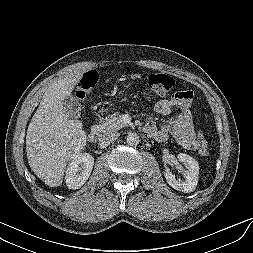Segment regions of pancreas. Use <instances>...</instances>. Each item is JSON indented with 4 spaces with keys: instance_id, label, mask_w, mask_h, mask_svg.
Wrapping results in <instances>:
<instances>
[{
    "instance_id": "obj_1",
    "label": "pancreas",
    "mask_w": 253,
    "mask_h": 253,
    "mask_svg": "<svg viewBox=\"0 0 253 253\" xmlns=\"http://www.w3.org/2000/svg\"><path fill=\"white\" fill-rule=\"evenodd\" d=\"M125 126H127V124L123 122L122 116L119 113H114L107 117L105 121L99 125V129L102 134L106 135L115 133Z\"/></svg>"
}]
</instances>
